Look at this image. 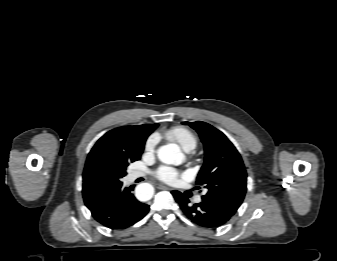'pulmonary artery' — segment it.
Masks as SVG:
<instances>
[{
  "mask_svg": "<svg viewBox=\"0 0 337 261\" xmlns=\"http://www.w3.org/2000/svg\"><path fill=\"white\" fill-rule=\"evenodd\" d=\"M142 175H143V173L140 172V171H133V172L131 173V175H130V178H131V179H136V178H138V177H140V176H142ZM195 201H196L197 203H199V202L201 201V197L198 196V197L196 198Z\"/></svg>",
  "mask_w": 337,
  "mask_h": 261,
  "instance_id": "e3ab8cb5",
  "label": "pulmonary artery"
}]
</instances>
